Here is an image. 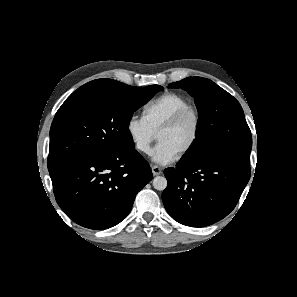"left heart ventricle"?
I'll return each instance as SVG.
<instances>
[{"label":"left heart ventricle","instance_id":"1","mask_svg":"<svg viewBox=\"0 0 297 297\" xmlns=\"http://www.w3.org/2000/svg\"><path fill=\"white\" fill-rule=\"evenodd\" d=\"M193 133L194 119L192 116H187L177 127L159 134L157 139L180 153L191 140Z\"/></svg>","mask_w":297,"mask_h":297}]
</instances>
